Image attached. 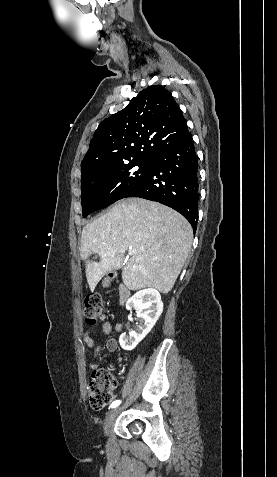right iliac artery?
Instances as JSON below:
<instances>
[{"label":"right iliac artery","instance_id":"right-iliac-artery-1","mask_svg":"<svg viewBox=\"0 0 277 477\" xmlns=\"http://www.w3.org/2000/svg\"><path fill=\"white\" fill-rule=\"evenodd\" d=\"M120 403H121V401H120V400H116V401H114V402L111 404V408H115V407H117V406H118Z\"/></svg>","mask_w":277,"mask_h":477}]
</instances>
